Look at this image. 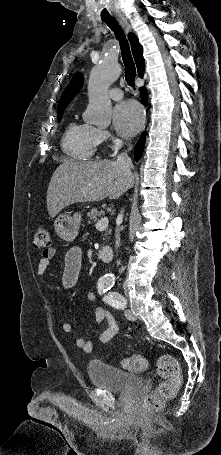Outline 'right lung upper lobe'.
I'll return each mask as SVG.
<instances>
[{"mask_svg":"<svg viewBox=\"0 0 221 455\" xmlns=\"http://www.w3.org/2000/svg\"><path fill=\"white\" fill-rule=\"evenodd\" d=\"M129 41L131 43L133 56L138 68V74L142 77L144 72V58H143V49L139 44L138 38L133 34H128ZM83 85V77L80 73L76 74L70 85L64 90L59 102L58 110L65 109L67 104L72 100L74 95L81 89Z\"/></svg>","mask_w":221,"mask_h":455,"instance_id":"obj_1","label":"right lung upper lobe"}]
</instances>
